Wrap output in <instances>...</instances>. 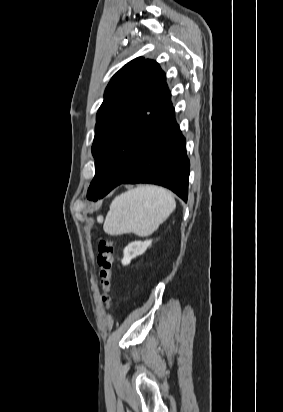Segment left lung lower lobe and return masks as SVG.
I'll list each match as a JSON object with an SVG mask.
<instances>
[{"label": "left lung lower lobe", "instance_id": "obj_1", "mask_svg": "<svg viewBox=\"0 0 283 412\" xmlns=\"http://www.w3.org/2000/svg\"><path fill=\"white\" fill-rule=\"evenodd\" d=\"M185 143L172 108L156 126L146 151L135 166L124 155L114 156L104 149L95 162L93 180L100 184V193L93 201L103 198L120 184L151 183L172 190L186 202L190 163Z\"/></svg>", "mask_w": 283, "mask_h": 412}]
</instances>
